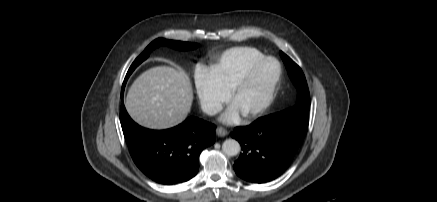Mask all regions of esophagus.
I'll use <instances>...</instances> for the list:
<instances>
[{"label": "esophagus", "mask_w": 437, "mask_h": 202, "mask_svg": "<svg viewBox=\"0 0 437 202\" xmlns=\"http://www.w3.org/2000/svg\"><path fill=\"white\" fill-rule=\"evenodd\" d=\"M216 134H217L219 137H224V136L228 135V131H227L225 128L218 127V128L216 129Z\"/></svg>", "instance_id": "34e87169"}]
</instances>
